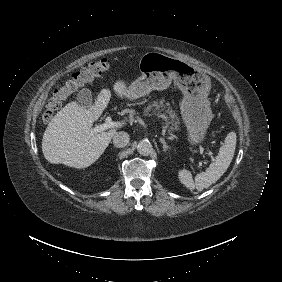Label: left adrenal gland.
<instances>
[{"label":"left adrenal gland","instance_id":"left-adrenal-gland-1","mask_svg":"<svg viewBox=\"0 0 282 282\" xmlns=\"http://www.w3.org/2000/svg\"><path fill=\"white\" fill-rule=\"evenodd\" d=\"M160 142L163 144V151L166 152L169 148L164 138H160Z\"/></svg>","mask_w":282,"mask_h":282}]
</instances>
